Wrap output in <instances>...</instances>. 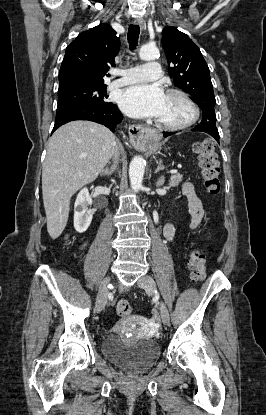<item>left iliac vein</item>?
I'll return each instance as SVG.
<instances>
[{"label":"left iliac vein","mask_w":266,"mask_h":415,"mask_svg":"<svg viewBox=\"0 0 266 415\" xmlns=\"http://www.w3.org/2000/svg\"><path fill=\"white\" fill-rule=\"evenodd\" d=\"M137 284L141 288H143L148 294L152 295V294L156 293V290H157L156 283H155L154 279L149 275L142 276L138 280ZM160 314H161L162 322L165 325H168L169 320H170L169 311H168L166 305L163 302L160 303Z\"/></svg>","instance_id":"4c4485c4"}]
</instances>
